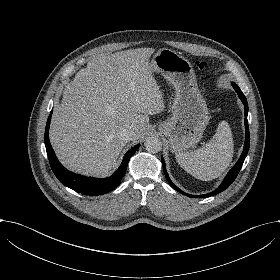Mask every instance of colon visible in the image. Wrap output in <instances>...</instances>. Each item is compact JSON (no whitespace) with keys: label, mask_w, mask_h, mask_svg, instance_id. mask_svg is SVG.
<instances>
[{"label":"colon","mask_w":280,"mask_h":280,"mask_svg":"<svg viewBox=\"0 0 280 280\" xmlns=\"http://www.w3.org/2000/svg\"><path fill=\"white\" fill-rule=\"evenodd\" d=\"M197 67H198V69L202 70L207 67V64L204 62H197Z\"/></svg>","instance_id":"1"}]
</instances>
